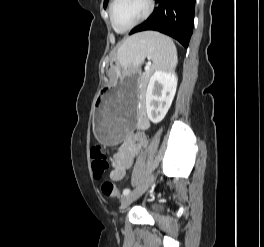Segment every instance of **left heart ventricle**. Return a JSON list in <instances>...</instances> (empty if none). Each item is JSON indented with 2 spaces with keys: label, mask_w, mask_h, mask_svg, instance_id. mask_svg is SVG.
<instances>
[{
  "label": "left heart ventricle",
  "mask_w": 264,
  "mask_h": 247,
  "mask_svg": "<svg viewBox=\"0 0 264 247\" xmlns=\"http://www.w3.org/2000/svg\"><path fill=\"white\" fill-rule=\"evenodd\" d=\"M146 0H118L114 9V20L118 27L125 28L143 16Z\"/></svg>",
  "instance_id": "obj_1"
}]
</instances>
